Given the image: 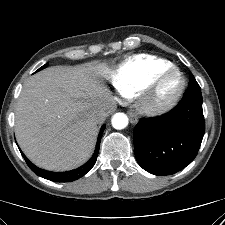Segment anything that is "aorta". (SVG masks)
<instances>
[{
  "label": "aorta",
  "mask_w": 225,
  "mask_h": 225,
  "mask_svg": "<svg viewBox=\"0 0 225 225\" xmlns=\"http://www.w3.org/2000/svg\"><path fill=\"white\" fill-rule=\"evenodd\" d=\"M128 121L127 115L119 112L113 115L111 123L113 128L121 130L127 127Z\"/></svg>",
  "instance_id": "obj_1"
}]
</instances>
